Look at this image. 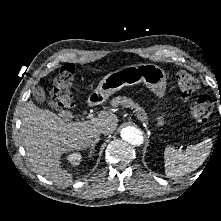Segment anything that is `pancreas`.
<instances>
[{
	"instance_id": "obj_1",
	"label": "pancreas",
	"mask_w": 221,
	"mask_h": 221,
	"mask_svg": "<svg viewBox=\"0 0 221 221\" xmlns=\"http://www.w3.org/2000/svg\"><path fill=\"white\" fill-rule=\"evenodd\" d=\"M111 105L114 107H117L118 105H122L123 107L126 108H132L135 109L134 112L137 115V118L144 121L148 122V116L147 113H145V110L140 107L137 103H134L132 99L127 98V97H121L118 96L111 101Z\"/></svg>"
}]
</instances>
